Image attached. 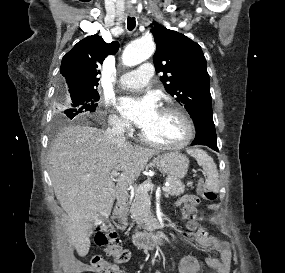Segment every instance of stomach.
Segmentation results:
<instances>
[{
  "mask_svg": "<svg viewBox=\"0 0 285 273\" xmlns=\"http://www.w3.org/2000/svg\"><path fill=\"white\" fill-rule=\"evenodd\" d=\"M163 172L173 179H182L185 177L189 167V159L180 153L172 152L157 157Z\"/></svg>",
  "mask_w": 285,
  "mask_h": 273,
  "instance_id": "1",
  "label": "stomach"
}]
</instances>
